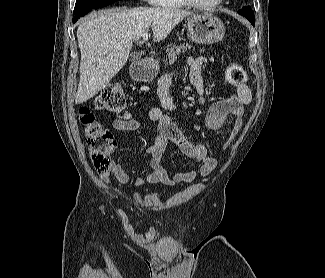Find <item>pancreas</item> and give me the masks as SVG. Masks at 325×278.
Masks as SVG:
<instances>
[{
  "label": "pancreas",
  "mask_w": 325,
  "mask_h": 278,
  "mask_svg": "<svg viewBox=\"0 0 325 278\" xmlns=\"http://www.w3.org/2000/svg\"><path fill=\"white\" fill-rule=\"evenodd\" d=\"M187 48H191L190 45L180 44L178 46L174 45L170 49L167 50V58L166 60H163L165 65L173 64L177 60V55H179L181 52H185ZM204 50H201V52Z\"/></svg>",
  "instance_id": "1"
}]
</instances>
